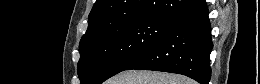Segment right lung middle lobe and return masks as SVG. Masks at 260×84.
Segmentation results:
<instances>
[{
    "label": "right lung middle lobe",
    "instance_id": "right-lung-middle-lobe-1",
    "mask_svg": "<svg viewBox=\"0 0 260 84\" xmlns=\"http://www.w3.org/2000/svg\"><path fill=\"white\" fill-rule=\"evenodd\" d=\"M172 21L147 18L123 23L80 45L81 84H100L126 70L164 34Z\"/></svg>",
    "mask_w": 260,
    "mask_h": 84
}]
</instances>
